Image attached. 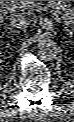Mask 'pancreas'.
Masks as SVG:
<instances>
[{
    "label": "pancreas",
    "instance_id": "cf45deb5",
    "mask_svg": "<svg viewBox=\"0 0 74 122\" xmlns=\"http://www.w3.org/2000/svg\"><path fill=\"white\" fill-rule=\"evenodd\" d=\"M18 2V1H15ZM49 5L57 8L60 10L62 15L64 16V19L68 23H72L73 16H74V8L68 1H47ZM28 5L26 6V9H34L36 8L40 2L39 1H28Z\"/></svg>",
    "mask_w": 74,
    "mask_h": 122
}]
</instances>
